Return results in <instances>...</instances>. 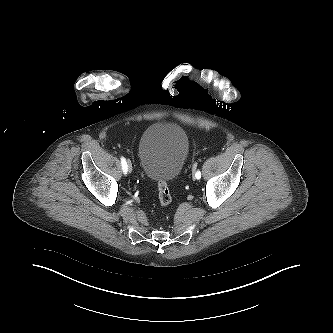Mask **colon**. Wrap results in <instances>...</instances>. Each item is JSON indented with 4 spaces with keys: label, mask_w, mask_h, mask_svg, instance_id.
<instances>
[{
    "label": "colon",
    "mask_w": 333,
    "mask_h": 333,
    "mask_svg": "<svg viewBox=\"0 0 333 333\" xmlns=\"http://www.w3.org/2000/svg\"><path fill=\"white\" fill-rule=\"evenodd\" d=\"M158 198L162 207H167L172 202V196L170 194L168 184L163 180L158 181Z\"/></svg>",
    "instance_id": "1"
}]
</instances>
